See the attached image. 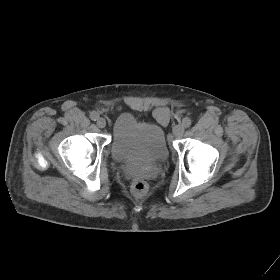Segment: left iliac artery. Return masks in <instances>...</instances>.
I'll list each match as a JSON object with an SVG mask.
<instances>
[{"instance_id": "obj_1", "label": "left iliac artery", "mask_w": 280, "mask_h": 280, "mask_svg": "<svg viewBox=\"0 0 280 280\" xmlns=\"http://www.w3.org/2000/svg\"><path fill=\"white\" fill-rule=\"evenodd\" d=\"M191 123H192V122H191V119L188 118V117H185V118H183V120H182V126L185 127V128L190 127Z\"/></svg>"}]
</instances>
